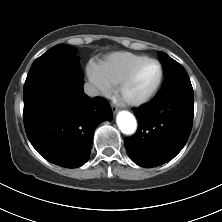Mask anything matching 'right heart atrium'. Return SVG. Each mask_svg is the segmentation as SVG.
Segmentation results:
<instances>
[{
    "mask_svg": "<svg viewBox=\"0 0 222 222\" xmlns=\"http://www.w3.org/2000/svg\"><path fill=\"white\" fill-rule=\"evenodd\" d=\"M89 80L95 88V93L99 97H109L112 93V86L107 83L100 75L98 66L90 63L87 67Z\"/></svg>",
    "mask_w": 222,
    "mask_h": 222,
    "instance_id": "obj_1",
    "label": "right heart atrium"
}]
</instances>
